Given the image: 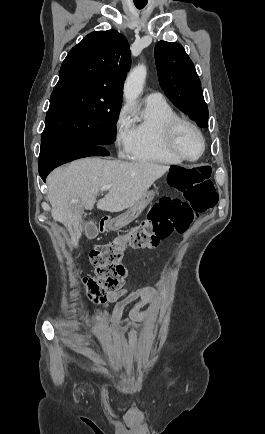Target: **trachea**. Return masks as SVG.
<instances>
[{"label": "trachea", "mask_w": 265, "mask_h": 434, "mask_svg": "<svg viewBox=\"0 0 265 434\" xmlns=\"http://www.w3.org/2000/svg\"><path fill=\"white\" fill-rule=\"evenodd\" d=\"M146 3H135V6L139 9L144 8Z\"/></svg>", "instance_id": "obj_1"}]
</instances>
